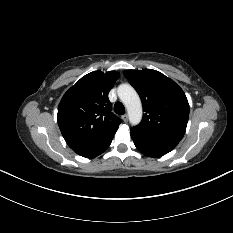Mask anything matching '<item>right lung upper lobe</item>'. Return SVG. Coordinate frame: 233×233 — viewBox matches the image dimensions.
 I'll use <instances>...</instances> for the list:
<instances>
[{
	"label": "right lung upper lobe",
	"mask_w": 233,
	"mask_h": 233,
	"mask_svg": "<svg viewBox=\"0 0 233 233\" xmlns=\"http://www.w3.org/2000/svg\"><path fill=\"white\" fill-rule=\"evenodd\" d=\"M118 77L116 71H94L64 94L57 119L71 149L92 146L116 133L121 120L111 112L108 93Z\"/></svg>",
	"instance_id": "right-lung-upper-lobe-1"
}]
</instances>
